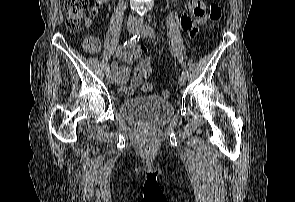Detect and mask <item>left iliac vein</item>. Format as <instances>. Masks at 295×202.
Wrapping results in <instances>:
<instances>
[{"mask_svg":"<svg viewBox=\"0 0 295 202\" xmlns=\"http://www.w3.org/2000/svg\"><path fill=\"white\" fill-rule=\"evenodd\" d=\"M137 31L142 35L143 38H146L148 36V28L145 27L144 25H140L137 29ZM178 84L180 86H183L185 84V78L184 77H179L178 78Z\"/></svg>","mask_w":295,"mask_h":202,"instance_id":"1","label":"left iliac vein"}]
</instances>
